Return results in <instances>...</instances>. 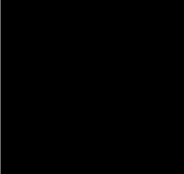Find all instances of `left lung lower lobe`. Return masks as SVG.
<instances>
[{"mask_svg": "<svg viewBox=\"0 0 184 174\" xmlns=\"http://www.w3.org/2000/svg\"><path fill=\"white\" fill-rule=\"evenodd\" d=\"M161 132L162 129L140 125L132 120L130 121V128H128L127 135L123 138V142L132 151H143L157 141Z\"/></svg>", "mask_w": 184, "mask_h": 174, "instance_id": "left-lung-lower-lobe-1", "label": "left lung lower lobe"}]
</instances>
